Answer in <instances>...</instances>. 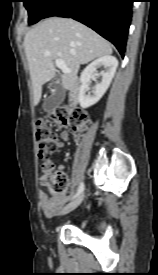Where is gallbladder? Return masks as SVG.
Wrapping results in <instances>:
<instances>
[{"label":"gallbladder","mask_w":158,"mask_h":275,"mask_svg":"<svg viewBox=\"0 0 158 275\" xmlns=\"http://www.w3.org/2000/svg\"><path fill=\"white\" fill-rule=\"evenodd\" d=\"M58 78V76H57ZM65 99V90L60 84L54 85V90L51 95L48 96L43 103V110L50 112L56 109Z\"/></svg>","instance_id":"gallbladder-1"}]
</instances>
